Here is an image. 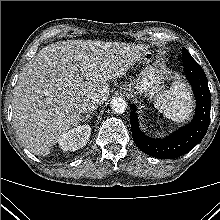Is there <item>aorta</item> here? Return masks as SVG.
<instances>
[{"label": "aorta", "instance_id": "aorta-1", "mask_svg": "<svg viewBox=\"0 0 220 220\" xmlns=\"http://www.w3.org/2000/svg\"><path fill=\"white\" fill-rule=\"evenodd\" d=\"M126 107H127L126 101L123 98H121V97L114 98L111 101V109L115 113L121 114V113L125 112Z\"/></svg>", "mask_w": 220, "mask_h": 220}]
</instances>
